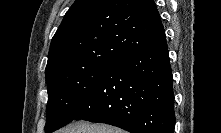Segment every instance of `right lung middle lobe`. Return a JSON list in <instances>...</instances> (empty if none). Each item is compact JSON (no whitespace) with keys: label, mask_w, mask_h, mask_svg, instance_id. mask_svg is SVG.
Segmentation results:
<instances>
[{"label":"right lung middle lobe","mask_w":221,"mask_h":133,"mask_svg":"<svg viewBox=\"0 0 221 133\" xmlns=\"http://www.w3.org/2000/svg\"><path fill=\"white\" fill-rule=\"evenodd\" d=\"M110 65L65 67L46 75L47 133L63 127L76 117Z\"/></svg>","instance_id":"1"}]
</instances>
